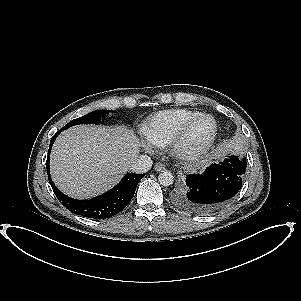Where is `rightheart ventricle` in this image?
<instances>
[{"label":"right heart ventricle","instance_id":"right-heart-ventricle-1","mask_svg":"<svg viewBox=\"0 0 301 301\" xmlns=\"http://www.w3.org/2000/svg\"><path fill=\"white\" fill-rule=\"evenodd\" d=\"M200 112L178 108L151 115L142 127L146 141L158 148L168 146L180 128Z\"/></svg>","mask_w":301,"mask_h":301}]
</instances>
